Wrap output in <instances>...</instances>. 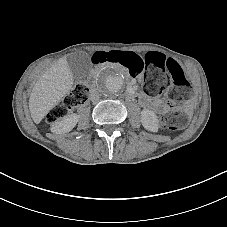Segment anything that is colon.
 Wrapping results in <instances>:
<instances>
[{
	"mask_svg": "<svg viewBox=\"0 0 227 227\" xmlns=\"http://www.w3.org/2000/svg\"><path fill=\"white\" fill-rule=\"evenodd\" d=\"M92 60L95 64H116L128 70L132 76L144 74V87L152 95L161 94L168 86V79L165 75L167 72L173 80V86L167 94L169 104H176L191 94L190 84L186 80L182 68L174 60L154 52L142 56L124 51L96 52ZM87 100V85L78 82L73 91L50 110L47 116L48 122L51 124L56 122L75 107L85 104ZM185 120L184 114L172 111L162 116L161 125L164 129L176 131L183 127Z\"/></svg>",
	"mask_w": 227,
	"mask_h": 227,
	"instance_id": "obj_1",
	"label": "colon"
}]
</instances>
